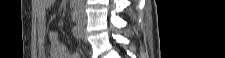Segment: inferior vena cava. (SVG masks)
Masks as SVG:
<instances>
[{
  "mask_svg": "<svg viewBox=\"0 0 225 58\" xmlns=\"http://www.w3.org/2000/svg\"><path fill=\"white\" fill-rule=\"evenodd\" d=\"M77 15L82 19H85V13L83 9V0L77 1Z\"/></svg>",
  "mask_w": 225,
  "mask_h": 58,
  "instance_id": "inferior-vena-cava-1",
  "label": "inferior vena cava"
}]
</instances>
